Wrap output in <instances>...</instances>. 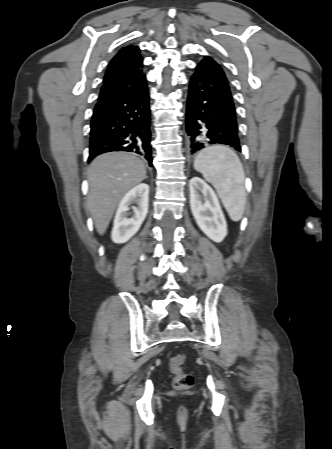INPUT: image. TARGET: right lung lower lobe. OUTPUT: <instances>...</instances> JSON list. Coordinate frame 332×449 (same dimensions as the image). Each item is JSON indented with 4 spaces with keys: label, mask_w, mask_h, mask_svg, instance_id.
Listing matches in <instances>:
<instances>
[{
    "label": "right lung lower lobe",
    "mask_w": 332,
    "mask_h": 449,
    "mask_svg": "<svg viewBox=\"0 0 332 449\" xmlns=\"http://www.w3.org/2000/svg\"><path fill=\"white\" fill-rule=\"evenodd\" d=\"M149 92L121 99L98 101L90 132V162L111 151H127L143 156L152 166Z\"/></svg>",
    "instance_id": "obj_1"
}]
</instances>
